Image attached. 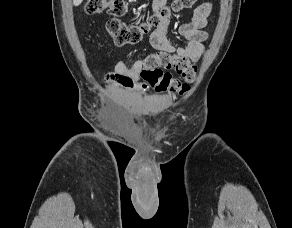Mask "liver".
I'll list each match as a JSON object with an SVG mask.
<instances>
[{
	"mask_svg": "<svg viewBox=\"0 0 292 228\" xmlns=\"http://www.w3.org/2000/svg\"><path fill=\"white\" fill-rule=\"evenodd\" d=\"M83 0H73L74 6H78L82 3Z\"/></svg>",
	"mask_w": 292,
	"mask_h": 228,
	"instance_id": "obj_1",
	"label": "liver"
}]
</instances>
